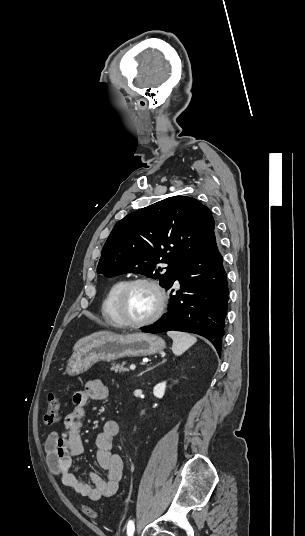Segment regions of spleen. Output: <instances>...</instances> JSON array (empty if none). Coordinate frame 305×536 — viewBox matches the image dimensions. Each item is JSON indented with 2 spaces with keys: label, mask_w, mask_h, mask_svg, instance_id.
<instances>
[{
  "label": "spleen",
  "mask_w": 305,
  "mask_h": 536,
  "mask_svg": "<svg viewBox=\"0 0 305 536\" xmlns=\"http://www.w3.org/2000/svg\"><path fill=\"white\" fill-rule=\"evenodd\" d=\"M167 334L173 340L172 352L175 356H182L188 348L197 342L194 336L185 334V332H167Z\"/></svg>",
  "instance_id": "spleen-1"
}]
</instances>
